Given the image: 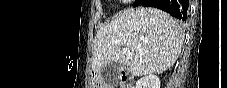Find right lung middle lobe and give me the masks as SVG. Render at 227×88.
I'll list each match as a JSON object with an SVG mask.
<instances>
[{
	"label": "right lung middle lobe",
	"mask_w": 227,
	"mask_h": 88,
	"mask_svg": "<svg viewBox=\"0 0 227 88\" xmlns=\"http://www.w3.org/2000/svg\"><path fill=\"white\" fill-rule=\"evenodd\" d=\"M140 2H141V0H136L133 5L137 6Z\"/></svg>",
	"instance_id": "dd1d6c3e"
}]
</instances>
